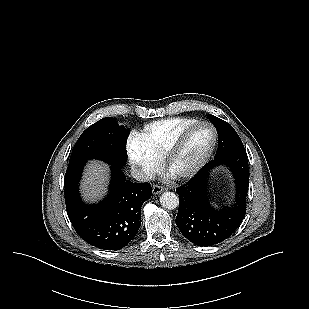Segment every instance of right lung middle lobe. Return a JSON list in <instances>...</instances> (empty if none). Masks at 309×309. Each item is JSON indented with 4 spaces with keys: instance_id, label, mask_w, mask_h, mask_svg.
<instances>
[{
    "instance_id": "right-lung-middle-lobe-1",
    "label": "right lung middle lobe",
    "mask_w": 309,
    "mask_h": 309,
    "mask_svg": "<svg viewBox=\"0 0 309 309\" xmlns=\"http://www.w3.org/2000/svg\"><path fill=\"white\" fill-rule=\"evenodd\" d=\"M129 128L119 126L112 117L89 126L77 140L69 166L89 159H100L122 167L127 161L126 142Z\"/></svg>"
}]
</instances>
